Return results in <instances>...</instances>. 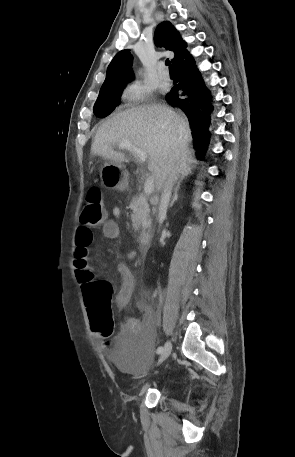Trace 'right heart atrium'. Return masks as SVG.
I'll return each mask as SVG.
<instances>
[{
  "label": "right heart atrium",
  "instance_id": "obj_1",
  "mask_svg": "<svg viewBox=\"0 0 295 457\" xmlns=\"http://www.w3.org/2000/svg\"><path fill=\"white\" fill-rule=\"evenodd\" d=\"M152 93V89L145 85L131 83L125 88L123 97L130 103H140L149 99Z\"/></svg>",
  "mask_w": 295,
  "mask_h": 457
}]
</instances>
